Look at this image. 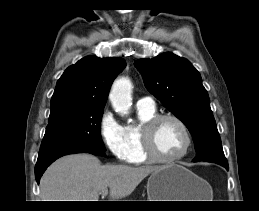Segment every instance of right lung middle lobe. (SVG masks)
I'll use <instances>...</instances> for the list:
<instances>
[{
    "label": "right lung middle lobe",
    "instance_id": "dd1d6c3e",
    "mask_svg": "<svg viewBox=\"0 0 259 211\" xmlns=\"http://www.w3.org/2000/svg\"><path fill=\"white\" fill-rule=\"evenodd\" d=\"M104 109H71L49 118L39 156L63 148L106 151L101 138Z\"/></svg>",
    "mask_w": 259,
    "mask_h": 211
}]
</instances>
